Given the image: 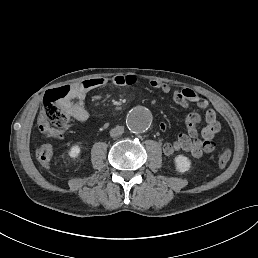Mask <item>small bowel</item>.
<instances>
[{
  "mask_svg": "<svg viewBox=\"0 0 258 258\" xmlns=\"http://www.w3.org/2000/svg\"><path fill=\"white\" fill-rule=\"evenodd\" d=\"M109 83L104 77L87 79L71 86L72 91L69 98L63 103L64 111L78 121L84 122L88 119V112L84 107L86 94L92 90L102 88ZM115 86H134L138 84V78L134 75H116L111 79ZM150 86L164 93L170 91L168 84L160 81L151 80ZM174 101L181 107L187 108L195 104L199 109L206 110V125L201 130L199 137L198 126L201 123V116L197 112L189 113L185 118L186 133L180 134L173 142L163 144V152L166 156L184 151L195 158L201 157L205 153H211L215 149L214 137L220 131V123L216 118L215 112L209 108V103L200 97L195 91L189 88L175 90L173 93ZM166 125L161 124V129ZM53 156V148L50 144H42L36 150V158L44 168H49Z\"/></svg>",
  "mask_w": 258,
  "mask_h": 258,
  "instance_id": "1",
  "label": "small bowel"
}]
</instances>
